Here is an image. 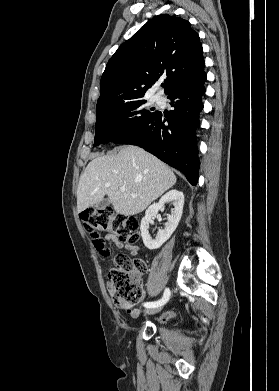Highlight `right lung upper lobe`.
Masks as SVG:
<instances>
[{
  "instance_id": "1",
  "label": "right lung upper lobe",
  "mask_w": 279,
  "mask_h": 391,
  "mask_svg": "<svg viewBox=\"0 0 279 391\" xmlns=\"http://www.w3.org/2000/svg\"><path fill=\"white\" fill-rule=\"evenodd\" d=\"M199 35L190 23L168 14L148 21L110 58L101 78L96 114L142 100L160 78L169 95L203 72Z\"/></svg>"
}]
</instances>
